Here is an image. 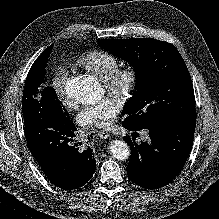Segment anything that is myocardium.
I'll return each mask as SVG.
<instances>
[{"label": "myocardium", "mask_w": 219, "mask_h": 219, "mask_svg": "<svg viewBox=\"0 0 219 219\" xmlns=\"http://www.w3.org/2000/svg\"><path fill=\"white\" fill-rule=\"evenodd\" d=\"M140 83V71L134 65H128L117 69L104 81V87L108 93L120 102L129 101L135 94Z\"/></svg>", "instance_id": "f54148a6"}]
</instances>
